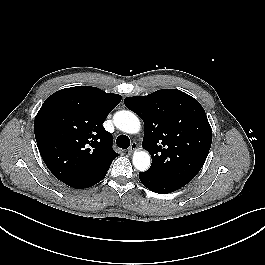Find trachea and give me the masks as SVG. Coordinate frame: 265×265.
I'll list each match as a JSON object with an SVG mask.
<instances>
[{"mask_svg": "<svg viewBox=\"0 0 265 265\" xmlns=\"http://www.w3.org/2000/svg\"><path fill=\"white\" fill-rule=\"evenodd\" d=\"M116 144L122 149H127L130 146V139L126 135H120L116 139Z\"/></svg>", "mask_w": 265, "mask_h": 265, "instance_id": "obj_1", "label": "trachea"}]
</instances>
